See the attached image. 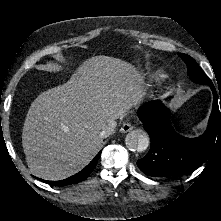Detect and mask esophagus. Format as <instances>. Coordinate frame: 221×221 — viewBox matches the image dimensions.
<instances>
[{"label":"esophagus","instance_id":"1","mask_svg":"<svg viewBox=\"0 0 221 221\" xmlns=\"http://www.w3.org/2000/svg\"><path fill=\"white\" fill-rule=\"evenodd\" d=\"M132 129H133V127L131 126V124L123 123V125L120 128V132L127 133V132L131 131Z\"/></svg>","mask_w":221,"mask_h":221}]
</instances>
